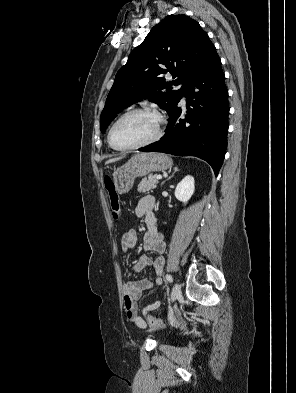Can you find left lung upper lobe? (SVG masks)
Returning a JSON list of instances; mask_svg holds the SVG:
<instances>
[{"label":"left lung upper lobe","instance_id":"1","mask_svg":"<svg viewBox=\"0 0 296 393\" xmlns=\"http://www.w3.org/2000/svg\"><path fill=\"white\" fill-rule=\"evenodd\" d=\"M215 50L199 23L186 15H169L152 28L118 71L100 117L104 133L114 117L148 98L170 116L190 78ZM170 72L174 80L167 82ZM183 84L176 91L172 85Z\"/></svg>","mask_w":296,"mask_h":393}]
</instances>
